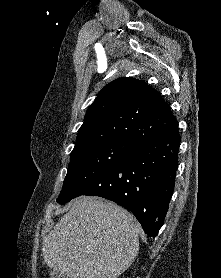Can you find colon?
Masks as SVG:
<instances>
[{"label":"colon","mask_w":221,"mask_h":278,"mask_svg":"<svg viewBox=\"0 0 221 278\" xmlns=\"http://www.w3.org/2000/svg\"><path fill=\"white\" fill-rule=\"evenodd\" d=\"M50 278H66V277L62 273L54 270L50 272Z\"/></svg>","instance_id":"5ec220e1"}]
</instances>
